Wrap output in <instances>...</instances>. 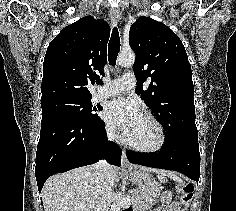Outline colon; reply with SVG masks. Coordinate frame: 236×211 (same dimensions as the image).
<instances>
[{"mask_svg": "<svg viewBox=\"0 0 236 211\" xmlns=\"http://www.w3.org/2000/svg\"><path fill=\"white\" fill-rule=\"evenodd\" d=\"M178 192L181 194V201L185 206H188L194 196V186L188 182L178 183L176 186ZM186 211L187 207L185 208Z\"/></svg>", "mask_w": 236, "mask_h": 211, "instance_id": "colon-1", "label": "colon"}]
</instances>
